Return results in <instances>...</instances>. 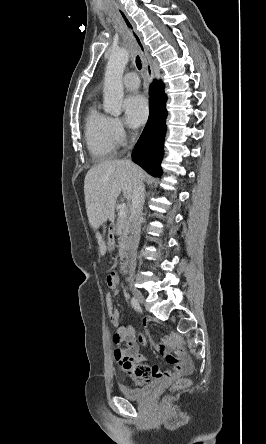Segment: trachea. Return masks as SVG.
<instances>
[{"label":"trachea","instance_id":"obj_1","mask_svg":"<svg viewBox=\"0 0 266 444\" xmlns=\"http://www.w3.org/2000/svg\"><path fill=\"white\" fill-rule=\"evenodd\" d=\"M135 62H136V66H137V68H138L139 70H141V68H142V63H141V59H140L139 56L136 57Z\"/></svg>","mask_w":266,"mask_h":444}]
</instances>
